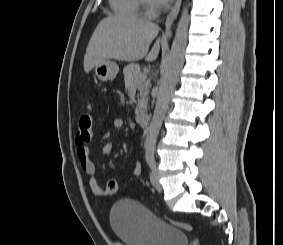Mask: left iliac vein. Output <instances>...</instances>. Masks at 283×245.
<instances>
[{
	"mask_svg": "<svg viewBox=\"0 0 283 245\" xmlns=\"http://www.w3.org/2000/svg\"><path fill=\"white\" fill-rule=\"evenodd\" d=\"M150 180L152 185L154 186V188L158 191V192H162L163 188L162 185L159 181V175H158V170L156 167L152 168V171L150 173Z\"/></svg>",
	"mask_w": 283,
	"mask_h": 245,
	"instance_id": "obj_1",
	"label": "left iliac vein"
}]
</instances>
